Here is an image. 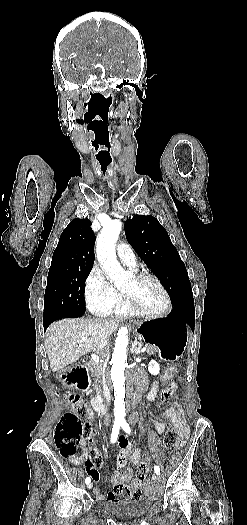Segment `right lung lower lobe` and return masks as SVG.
<instances>
[{"mask_svg":"<svg viewBox=\"0 0 247 525\" xmlns=\"http://www.w3.org/2000/svg\"><path fill=\"white\" fill-rule=\"evenodd\" d=\"M78 316H80V315H78ZM43 324H44V329H46L48 327V325L46 323H43Z\"/></svg>","mask_w":247,"mask_h":525,"instance_id":"obj_1","label":"right lung lower lobe"}]
</instances>
